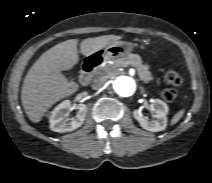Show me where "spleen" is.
<instances>
[{
  "instance_id": "spleen-1",
  "label": "spleen",
  "mask_w": 212,
  "mask_h": 183,
  "mask_svg": "<svg viewBox=\"0 0 212 183\" xmlns=\"http://www.w3.org/2000/svg\"><path fill=\"white\" fill-rule=\"evenodd\" d=\"M184 112H185V110H181L173 116V118L171 120V126L176 124L183 117Z\"/></svg>"
}]
</instances>
